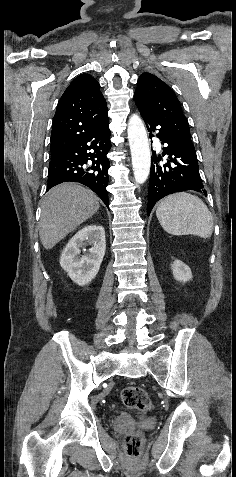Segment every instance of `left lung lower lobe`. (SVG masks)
Here are the masks:
<instances>
[{"label": "left lung lower lobe", "instance_id": "left-lung-lower-lobe-1", "mask_svg": "<svg viewBox=\"0 0 236 477\" xmlns=\"http://www.w3.org/2000/svg\"><path fill=\"white\" fill-rule=\"evenodd\" d=\"M148 131L149 137L153 133L165 146L161 155L153 151L151 157V173L148 191V216L155 203L161 198L176 192L194 190L206 195L198 167L195 150L187 148L173 139L159 124L140 110ZM166 157L167 163L159 164L162 157Z\"/></svg>", "mask_w": 236, "mask_h": 477}]
</instances>
